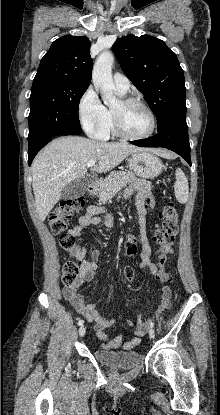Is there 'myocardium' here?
Segmentation results:
<instances>
[{"label": "myocardium", "mask_w": 220, "mask_h": 415, "mask_svg": "<svg viewBox=\"0 0 220 415\" xmlns=\"http://www.w3.org/2000/svg\"><path fill=\"white\" fill-rule=\"evenodd\" d=\"M120 103L123 106H132V105H138L140 107H142L143 109H145L147 111V113L149 114L150 118H151V128L150 130L141 136H133L128 134L121 123V119L119 117V115L117 114V112H115L114 110H112V117H113V125H114V130L116 132L117 135H119L120 137L127 139V140H132V141H139V140H144L147 139L149 137H151L157 127V119H156V115L153 111V109L147 105L145 102H143L140 99L137 98H123L120 100Z\"/></svg>", "instance_id": "f54148a6"}]
</instances>
